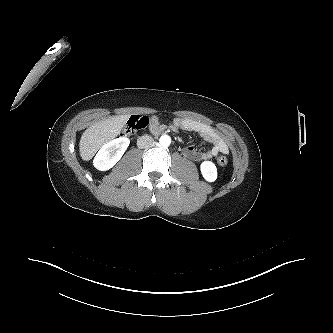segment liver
Wrapping results in <instances>:
<instances>
[{"label": "liver", "mask_w": 333, "mask_h": 333, "mask_svg": "<svg viewBox=\"0 0 333 333\" xmlns=\"http://www.w3.org/2000/svg\"><path fill=\"white\" fill-rule=\"evenodd\" d=\"M128 120V115L111 116L91 125L82 135L79 150L84 161L90 160L106 142L115 138Z\"/></svg>", "instance_id": "6515ba94"}]
</instances>
